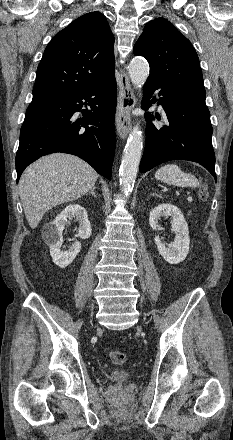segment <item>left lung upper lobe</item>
I'll return each instance as SVG.
<instances>
[{
  "instance_id": "5c2ea615",
  "label": "left lung upper lobe",
  "mask_w": 233,
  "mask_h": 440,
  "mask_svg": "<svg viewBox=\"0 0 233 440\" xmlns=\"http://www.w3.org/2000/svg\"><path fill=\"white\" fill-rule=\"evenodd\" d=\"M133 52L149 62V80L166 89L206 95L195 49L168 20L157 18L148 22Z\"/></svg>"
}]
</instances>
